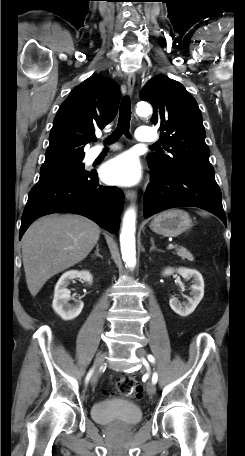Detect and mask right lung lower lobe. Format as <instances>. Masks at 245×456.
Segmentation results:
<instances>
[{
	"mask_svg": "<svg viewBox=\"0 0 245 456\" xmlns=\"http://www.w3.org/2000/svg\"><path fill=\"white\" fill-rule=\"evenodd\" d=\"M124 195L117 187L99 184L96 172L40 181L30 191L19 239L37 218L52 213H76L115 233L123 210Z\"/></svg>",
	"mask_w": 245,
	"mask_h": 456,
	"instance_id": "obj_1",
	"label": "right lung lower lobe"
}]
</instances>
